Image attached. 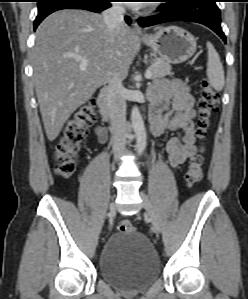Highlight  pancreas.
Listing matches in <instances>:
<instances>
[{
    "label": "pancreas",
    "mask_w": 248,
    "mask_h": 299,
    "mask_svg": "<svg viewBox=\"0 0 248 299\" xmlns=\"http://www.w3.org/2000/svg\"><path fill=\"white\" fill-rule=\"evenodd\" d=\"M149 70L152 72V80L173 75L171 72V65L161 58H154Z\"/></svg>",
    "instance_id": "obj_1"
}]
</instances>
